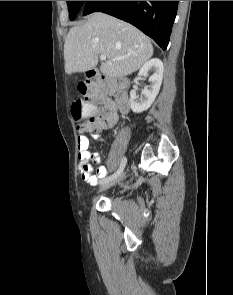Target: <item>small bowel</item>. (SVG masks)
<instances>
[{
    "mask_svg": "<svg viewBox=\"0 0 233 295\" xmlns=\"http://www.w3.org/2000/svg\"><path fill=\"white\" fill-rule=\"evenodd\" d=\"M105 110L106 115L103 120H98L92 124H86L85 126L79 128L81 132H89L93 133V138L100 142H105L104 131L113 127L117 120V108L118 101L114 102L110 99L106 94L102 95L100 98ZM89 138L81 134L78 137V158L80 160L79 172L81 174L82 179L90 185L97 184L100 178H103L107 173L106 166H99L97 169V174L95 175L93 172L92 163L99 164L100 163V155L98 152H92L89 150Z\"/></svg>",
    "mask_w": 233,
    "mask_h": 295,
    "instance_id": "c3829d8e",
    "label": "small bowel"
}]
</instances>
